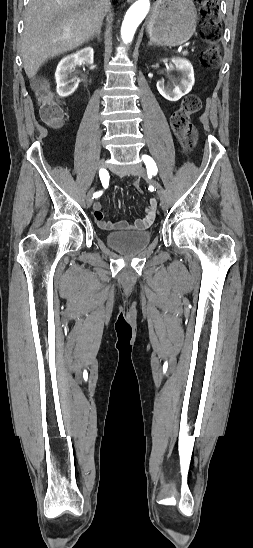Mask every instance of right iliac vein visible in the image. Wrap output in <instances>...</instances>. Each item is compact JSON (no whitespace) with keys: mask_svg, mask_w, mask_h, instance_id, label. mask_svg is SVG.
<instances>
[{"mask_svg":"<svg viewBox=\"0 0 253 548\" xmlns=\"http://www.w3.org/2000/svg\"><path fill=\"white\" fill-rule=\"evenodd\" d=\"M105 164H106L105 159H104V158L101 159V160L99 161V163H98V169H99V170L103 169V168L105 167ZM93 191H94V189L92 188V189L89 191L88 195H87V205H88L89 207H90V206L92 205V203H93V197H92Z\"/></svg>","mask_w":253,"mask_h":548,"instance_id":"obj_1","label":"right iliac vein"}]
</instances>
